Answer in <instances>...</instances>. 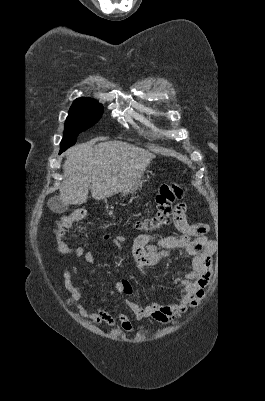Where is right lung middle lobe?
I'll return each instance as SVG.
<instances>
[{"label":"right lung middle lobe","instance_id":"1","mask_svg":"<svg viewBox=\"0 0 265 401\" xmlns=\"http://www.w3.org/2000/svg\"><path fill=\"white\" fill-rule=\"evenodd\" d=\"M103 113L101 104L71 106L64 126V137L60 143V153L76 143L78 134L99 121Z\"/></svg>","mask_w":265,"mask_h":401}]
</instances>
